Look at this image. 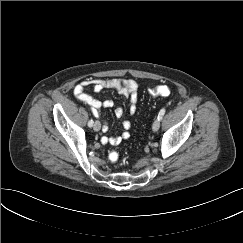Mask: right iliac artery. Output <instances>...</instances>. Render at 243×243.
I'll use <instances>...</instances> for the list:
<instances>
[{"label":"right iliac artery","instance_id":"82829eb1","mask_svg":"<svg viewBox=\"0 0 243 243\" xmlns=\"http://www.w3.org/2000/svg\"><path fill=\"white\" fill-rule=\"evenodd\" d=\"M93 123H94V121L91 119V120L88 122V126H89V127H92V126H93Z\"/></svg>","mask_w":243,"mask_h":243}]
</instances>
